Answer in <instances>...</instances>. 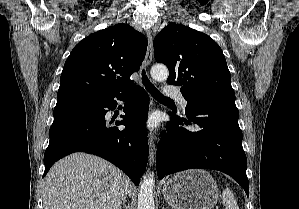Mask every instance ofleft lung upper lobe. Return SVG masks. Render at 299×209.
<instances>
[{"label":"left lung upper lobe","instance_id":"obj_1","mask_svg":"<svg viewBox=\"0 0 299 209\" xmlns=\"http://www.w3.org/2000/svg\"><path fill=\"white\" fill-rule=\"evenodd\" d=\"M154 57L169 69L168 83L179 85L188 106L201 99L235 101L231 75L219 45L208 35L170 23L154 39Z\"/></svg>","mask_w":299,"mask_h":209}]
</instances>
